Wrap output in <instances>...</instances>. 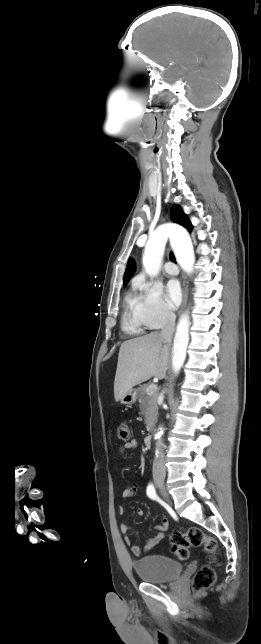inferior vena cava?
<instances>
[{"label":"inferior vena cava","instance_id":"inferior-vena-cava-1","mask_svg":"<svg viewBox=\"0 0 261 644\" xmlns=\"http://www.w3.org/2000/svg\"><path fill=\"white\" fill-rule=\"evenodd\" d=\"M175 319L176 316L174 313L170 311H165L164 313V323L163 327L161 330V336L168 342L171 341V336L172 332L174 331L175 327ZM165 474V467H164V454L163 450H159V455L158 457L155 458L154 463H153V474Z\"/></svg>","mask_w":261,"mask_h":644}]
</instances>
